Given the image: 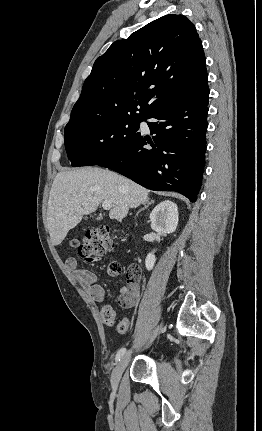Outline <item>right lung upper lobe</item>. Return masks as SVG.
Here are the masks:
<instances>
[{"mask_svg":"<svg viewBox=\"0 0 262 431\" xmlns=\"http://www.w3.org/2000/svg\"><path fill=\"white\" fill-rule=\"evenodd\" d=\"M205 56L192 22L166 15L115 41L94 63L66 126L121 116L147 118L207 85Z\"/></svg>","mask_w":262,"mask_h":431,"instance_id":"1","label":"right lung upper lobe"}]
</instances>
